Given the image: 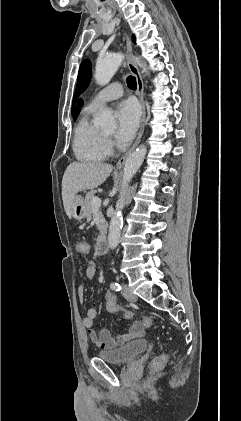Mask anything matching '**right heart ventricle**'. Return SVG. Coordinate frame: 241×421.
Masks as SVG:
<instances>
[{"label":"right heart ventricle","mask_w":241,"mask_h":421,"mask_svg":"<svg viewBox=\"0 0 241 421\" xmlns=\"http://www.w3.org/2000/svg\"><path fill=\"white\" fill-rule=\"evenodd\" d=\"M95 109L86 107L78 121L73 138V151L77 159L84 162H100L111 153L109 141L91 121Z\"/></svg>","instance_id":"e07e8e85"}]
</instances>
